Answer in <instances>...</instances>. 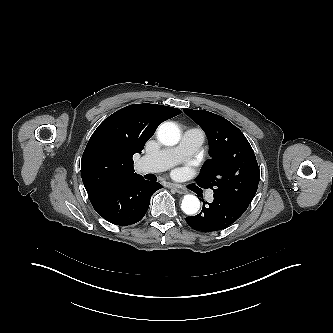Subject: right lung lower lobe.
<instances>
[{
    "label": "right lung lower lobe",
    "mask_w": 333,
    "mask_h": 333,
    "mask_svg": "<svg viewBox=\"0 0 333 333\" xmlns=\"http://www.w3.org/2000/svg\"><path fill=\"white\" fill-rule=\"evenodd\" d=\"M163 186L142 176L109 185L89 196L95 211L110 223L127 226L140 221L152 194Z\"/></svg>",
    "instance_id": "98d812e1"
}]
</instances>
